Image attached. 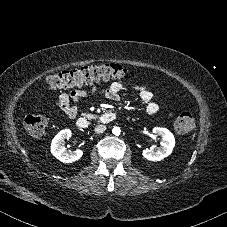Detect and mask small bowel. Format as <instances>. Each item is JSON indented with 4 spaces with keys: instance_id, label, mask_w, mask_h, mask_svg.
I'll use <instances>...</instances> for the list:
<instances>
[{
    "instance_id": "obj_1",
    "label": "small bowel",
    "mask_w": 227,
    "mask_h": 227,
    "mask_svg": "<svg viewBox=\"0 0 227 227\" xmlns=\"http://www.w3.org/2000/svg\"><path fill=\"white\" fill-rule=\"evenodd\" d=\"M134 90L139 94L140 99L145 105V110L148 114H155L159 110L158 103L154 100L153 91L146 86L135 85ZM124 85L120 82H113L107 88L103 89L98 86H92L89 89H76L69 93H62L57 98V106L69 118L76 115L77 104L81 98L90 94H101L107 99L117 100Z\"/></svg>"
}]
</instances>
